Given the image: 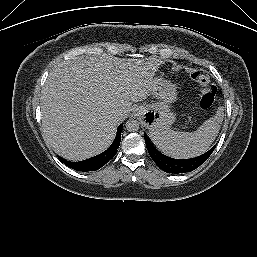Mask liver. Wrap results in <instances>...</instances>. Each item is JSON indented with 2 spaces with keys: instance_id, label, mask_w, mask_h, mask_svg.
I'll return each instance as SVG.
<instances>
[{
  "instance_id": "obj_1",
  "label": "liver",
  "mask_w": 257,
  "mask_h": 257,
  "mask_svg": "<svg viewBox=\"0 0 257 257\" xmlns=\"http://www.w3.org/2000/svg\"><path fill=\"white\" fill-rule=\"evenodd\" d=\"M163 61L77 56L59 63L41 94L42 127L56 154L79 161L106 150L132 103L145 100ZM120 115V119L114 116Z\"/></svg>"
}]
</instances>
